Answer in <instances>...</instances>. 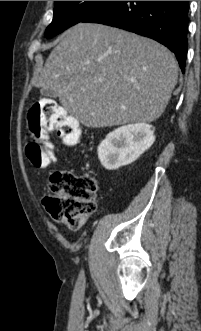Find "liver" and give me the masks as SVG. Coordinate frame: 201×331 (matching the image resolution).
Listing matches in <instances>:
<instances>
[{
    "label": "liver",
    "instance_id": "liver-1",
    "mask_svg": "<svg viewBox=\"0 0 201 331\" xmlns=\"http://www.w3.org/2000/svg\"><path fill=\"white\" fill-rule=\"evenodd\" d=\"M175 56L158 42L118 28L78 23L52 50L35 86L57 93L87 127L150 123L177 83Z\"/></svg>",
    "mask_w": 201,
    "mask_h": 331
}]
</instances>
